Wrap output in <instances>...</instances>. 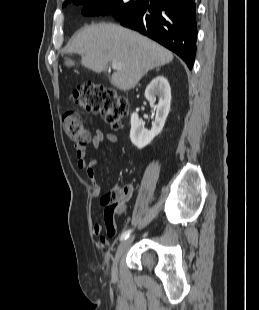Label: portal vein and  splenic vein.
I'll return each instance as SVG.
<instances>
[{
	"label": "portal vein and splenic vein",
	"instance_id": "obj_1",
	"mask_svg": "<svg viewBox=\"0 0 259 310\" xmlns=\"http://www.w3.org/2000/svg\"><path fill=\"white\" fill-rule=\"evenodd\" d=\"M123 65L122 63L118 62V61H112V68L115 70H119L122 69Z\"/></svg>",
	"mask_w": 259,
	"mask_h": 310
}]
</instances>
